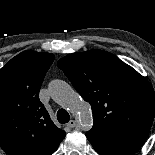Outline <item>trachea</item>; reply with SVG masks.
Listing matches in <instances>:
<instances>
[{"label":"trachea","instance_id":"trachea-1","mask_svg":"<svg viewBox=\"0 0 155 155\" xmlns=\"http://www.w3.org/2000/svg\"><path fill=\"white\" fill-rule=\"evenodd\" d=\"M57 120L61 124H65L70 120V115L65 109H59L57 112Z\"/></svg>","mask_w":155,"mask_h":155}]
</instances>
